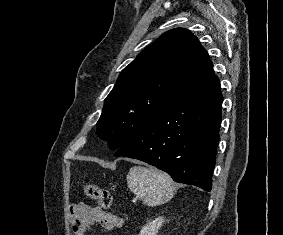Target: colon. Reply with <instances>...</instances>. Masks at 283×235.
<instances>
[{
    "instance_id": "5ec220e1",
    "label": "colon",
    "mask_w": 283,
    "mask_h": 235,
    "mask_svg": "<svg viewBox=\"0 0 283 235\" xmlns=\"http://www.w3.org/2000/svg\"><path fill=\"white\" fill-rule=\"evenodd\" d=\"M83 190L87 197L96 200L101 207L105 209L111 207L113 197L110 191L93 183H84Z\"/></svg>"
}]
</instances>
